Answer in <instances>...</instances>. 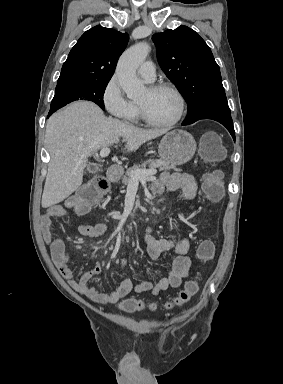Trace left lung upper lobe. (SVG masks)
<instances>
[{
  "mask_svg": "<svg viewBox=\"0 0 283 384\" xmlns=\"http://www.w3.org/2000/svg\"><path fill=\"white\" fill-rule=\"evenodd\" d=\"M152 39L160 67L188 103L183 123L231 114L219 66L198 33L182 25L156 33Z\"/></svg>",
  "mask_w": 283,
  "mask_h": 384,
  "instance_id": "5c2ea615",
  "label": "left lung upper lobe"
}]
</instances>
